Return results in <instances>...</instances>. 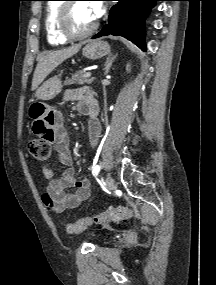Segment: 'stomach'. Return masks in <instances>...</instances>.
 Here are the masks:
<instances>
[{
    "mask_svg": "<svg viewBox=\"0 0 216 285\" xmlns=\"http://www.w3.org/2000/svg\"><path fill=\"white\" fill-rule=\"evenodd\" d=\"M110 52V46L107 42L101 40H91L83 48L84 57L96 60L107 55ZM61 80L55 76L45 81L35 93L39 100H51L56 97L62 90Z\"/></svg>",
    "mask_w": 216,
    "mask_h": 285,
    "instance_id": "obj_1",
    "label": "stomach"
}]
</instances>
